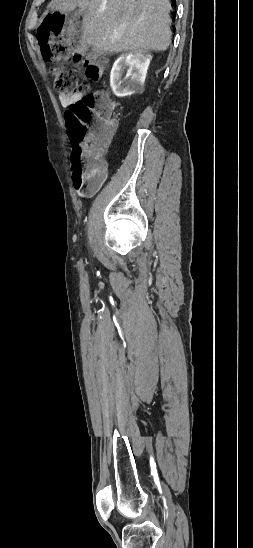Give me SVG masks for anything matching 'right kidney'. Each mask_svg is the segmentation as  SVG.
<instances>
[{
  "label": "right kidney",
  "mask_w": 253,
  "mask_h": 548,
  "mask_svg": "<svg viewBox=\"0 0 253 548\" xmlns=\"http://www.w3.org/2000/svg\"><path fill=\"white\" fill-rule=\"evenodd\" d=\"M151 60L152 55L146 51H133L118 57L110 74V86L114 94L117 97H126L142 91ZM126 67L128 71L123 79Z\"/></svg>",
  "instance_id": "ca27d5eb"
}]
</instances>
